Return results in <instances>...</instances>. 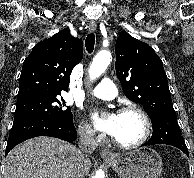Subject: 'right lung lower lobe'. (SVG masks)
<instances>
[{"mask_svg":"<svg viewBox=\"0 0 194 178\" xmlns=\"http://www.w3.org/2000/svg\"><path fill=\"white\" fill-rule=\"evenodd\" d=\"M37 136H51L68 142L75 141L77 132L73 124V118L57 120L37 114L14 117L5 156L17 144Z\"/></svg>","mask_w":194,"mask_h":178,"instance_id":"right-lung-lower-lobe-1","label":"right lung lower lobe"}]
</instances>
